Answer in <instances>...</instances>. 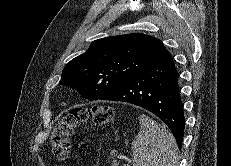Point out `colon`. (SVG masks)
Segmentation results:
<instances>
[{
    "label": "colon",
    "instance_id": "5ec220e1",
    "mask_svg": "<svg viewBox=\"0 0 231 166\" xmlns=\"http://www.w3.org/2000/svg\"><path fill=\"white\" fill-rule=\"evenodd\" d=\"M91 120L97 126L108 125L115 120V113L109 105H93L89 108H74L55 125L51 136L53 154L63 161L70 157V139L75 128Z\"/></svg>",
    "mask_w": 231,
    "mask_h": 166
}]
</instances>
